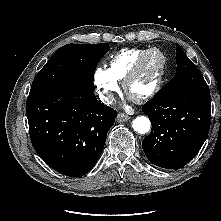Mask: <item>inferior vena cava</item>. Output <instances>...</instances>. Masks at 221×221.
<instances>
[{
    "mask_svg": "<svg viewBox=\"0 0 221 221\" xmlns=\"http://www.w3.org/2000/svg\"><path fill=\"white\" fill-rule=\"evenodd\" d=\"M100 100L106 104V105H111L114 102V96L112 93H106V94H101L100 96Z\"/></svg>",
    "mask_w": 221,
    "mask_h": 221,
    "instance_id": "602c4592",
    "label": "inferior vena cava"
}]
</instances>
